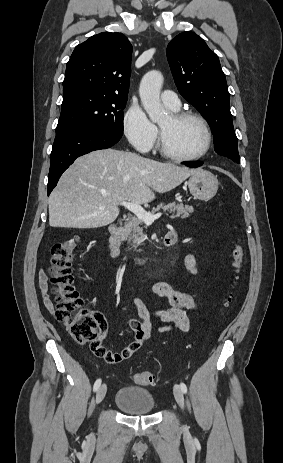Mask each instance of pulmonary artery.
Here are the masks:
<instances>
[{
    "label": "pulmonary artery",
    "instance_id": "obj_1",
    "mask_svg": "<svg viewBox=\"0 0 283 463\" xmlns=\"http://www.w3.org/2000/svg\"><path fill=\"white\" fill-rule=\"evenodd\" d=\"M163 103L171 110H178L180 108V100L177 94L171 90H164L161 93Z\"/></svg>",
    "mask_w": 283,
    "mask_h": 463
}]
</instances>
